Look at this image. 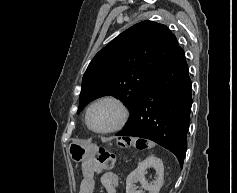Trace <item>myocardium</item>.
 Here are the masks:
<instances>
[{"label": "myocardium", "mask_w": 237, "mask_h": 193, "mask_svg": "<svg viewBox=\"0 0 237 193\" xmlns=\"http://www.w3.org/2000/svg\"><path fill=\"white\" fill-rule=\"evenodd\" d=\"M103 102H109V103L114 104L119 110V118H118V121L112 127L103 129V130H99V129L94 128L91 125L90 113L96 105L103 103ZM128 120H129V111H128L127 107L125 106V104L120 99H118L114 96H111V95L102 96V97H99L96 100H94L88 106L86 115H85V121H86L88 128L97 134H111V133L118 132L126 126Z\"/></svg>", "instance_id": "obj_1"}]
</instances>
